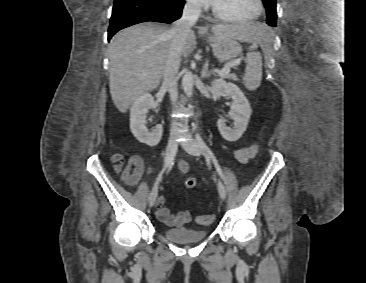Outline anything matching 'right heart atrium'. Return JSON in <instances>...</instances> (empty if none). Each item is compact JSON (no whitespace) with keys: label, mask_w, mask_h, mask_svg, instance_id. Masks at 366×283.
Returning a JSON list of instances; mask_svg holds the SVG:
<instances>
[{"label":"right heart atrium","mask_w":366,"mask_h":283,"mask_svg":"<svg viewBox=\"0 0 366 283\" xmlns=\"http://www.w3.org/2000/svg\"><path fill=\"white\" fill-rule=\"evenodd\" d=\"M187 5L193 11H199L202 7L200 0H187Z\"/></svg>","instance_id":"d8ad5b80"}]
</instances>
